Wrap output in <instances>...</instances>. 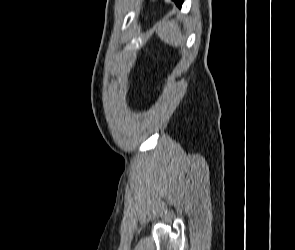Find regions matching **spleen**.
I'll return each instance as SVG.
<instances>
[{
	"label": "spleen",
	"instance_id": "1",
	"mask_svg": "<svg viewBox=\"0 0 295 250\" xmlns=\"http://www.w3.org/2000/svg\"><path fill=\"white\" fill-rule=\"evenodd\" d=\"M156 32L164 43L173 47L182 46L184 38L181 33L179 25L173 21H163L156 25Z\"/></svg>",
	"mask_w": 295,
	"mask_h": 250
}]
</instances>
